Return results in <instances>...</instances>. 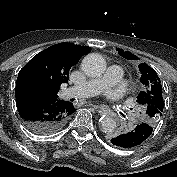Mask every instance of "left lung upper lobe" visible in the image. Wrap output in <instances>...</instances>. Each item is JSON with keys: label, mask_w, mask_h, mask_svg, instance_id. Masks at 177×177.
I'll return each instance as SVG.
<instances>
[{"label": "left lung upper lobe", "mask_w": 177, "mask_h": 177, "mask_svg": "<svg viewBox=\"0 0 177 177\" xmlns=\"http://www.w3.org/2000/svg\"><path fill=\"white\" fill-rule=\"evenodd\" d=\"M126 52L119 51V54L126 57ZM141 72L142 91L137 97V102L143 108L142 121L152 127L159 121L163 113L164 100L160 78L155 70L146 63L139 65Z\"/></svg>", "instance_id": "5c2ea615"}]
</instances>
